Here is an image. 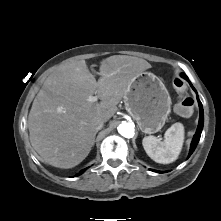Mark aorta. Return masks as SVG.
Returning a JSON list of instances; mask_svg holds the SVG:
<instances>
[{
	"instance_id": "aorta-1",
	"label": "aorta",
	"mask_w": 221,
	"mask_h": 221,
	"mask_svg": "<svg viewBox=\"0 0 221 221\" xmlns=\"http://www.w3.org/2000/svg\"><path fill=\"white\" fill-rule=\"evenodd\" d=\"M118 132L125 138H131L134 136V124L130 122H122L118 126Z\"/></svg>"
}]
</instances>
